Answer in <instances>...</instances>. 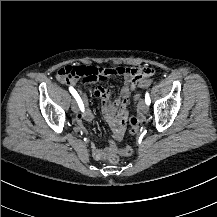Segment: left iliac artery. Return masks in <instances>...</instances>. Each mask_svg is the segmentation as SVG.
Listing matches in <instances>:
<instances>
[{
    "label": "left iliac artery",
    "instance_id": "left-iliac-artery-1",
    "mask_svg": "<svg viewBox=\"0 0 217 217\" xmlns=\"http://www.w3.org/2000/svg\"><path fill=\"white\" fill-rule=\"evenodd\" d=\"M145 103H146L147 105H150V103H151V100H150V97H149V93H148V92H147L146 95H145Z\"/></svg>",
    "mask_w": 217,
    "mask_h": 217
}]
</instances>
